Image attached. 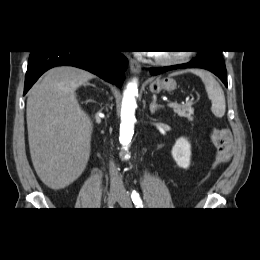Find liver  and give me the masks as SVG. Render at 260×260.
<instances>
[{
  "label": "liver",
  "instance_id": "obj_1",
  "mask_svg": "<svg viewBox=\"0 0 260 260\" xmlns=\"http://www.w3.org/2000/svg\"><path fill=\"white\" fill-rule=\"evenodd\" d=\"M94 78L69 66L47 71L27 99L28 141L34 169L52 189H62L84 172L90 156L92 123L76 89Z\"/></svg>",
  "mask_w": 260,
  "mask_h": 260
}]
</instances>
